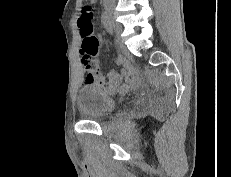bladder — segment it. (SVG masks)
Masks as SVG:
<instances>
[{
    "mask_svg": "<svg viewBox=\"0 0 231 177\" xmlns=\"http://www.w3.org/2000/svg\"><path fill=\"white\" fill-rule=\"evenodd\" d=\"M115 105L114 98L97 87H83L77 95V107L87 118L103 117L109 114Z\"/></svg>",
    "mask_w": 231,
    "mask_h": 177,
    "instance_id": "bladder-1",
    "label": "bladder"
}]
</instances>
